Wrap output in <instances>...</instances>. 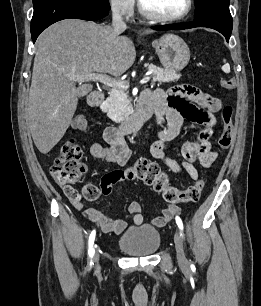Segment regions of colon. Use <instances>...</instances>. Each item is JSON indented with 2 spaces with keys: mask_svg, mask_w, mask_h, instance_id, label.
<instances>
[{
  "mask_svg": "<svg viewBox=\"0 0 261 306\" xmlns=\"http://www.w3.org/2000/svg\"><path fill=\"white\" fill-rule=\"evenodd\" d=\"M220 85L226 90H232L235 88V80L231 77H224L221 78ZM221 119L223 128L217 145L219 149L226 150L231 146L235 134L231 106H225L222 109ZM72 125L80 131H87L89 127L88 121L83 115L76 116ZM81 158V147L75 140L69 139L62 145L59 155L50 168L54 180L67 191L76 195L79 194L71 185L79 182L87 170ZM135 179L151 186L156 192L162 193L164 200L168 203L196 202L200 198L204 185L202 180H198L185 190L170 186L167 175L161 171L159 165L143 158L137 160L126 170L115 171L108 175V180L111 182ZM101 193H103L102 188L99 190L95 186L83 192L88 200H96Z\"/></svg>",
  "mask_w": 261,
  "mask_h": 306,
  "instance_id": "obj_1",
  "label": "colon"
}]
</instances>
